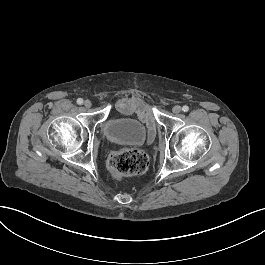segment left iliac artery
Here are the masks:
<instances>
[{
	"label": "left iliac artery",
	"instance_id": "1",
	"mask_svg": "<svg viewBox=\"0 0 265 265\" xmlns=\"http://www.w3.org/2000/svg\"><path fill=\"white\" fill-rule=\"evenodd\" d=\"M182 110H183L184 112H188L189 107L185 105V106L182 107Z\"/></svg>",
	"mask_w": 265,
	"mask_h": 265
}]
</instances>
